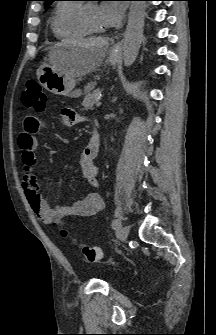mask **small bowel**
I'll return each instance as SVG.
<instances>
[{
	"mask_svg": "<svg viewBox=\"0 0 216 335\" xmlns=\"http://www.w3.org/2000/svg\"><path fill=\"white\" fill-rule=\"evenodd\" d=\"M60 117L66 125H75L82 121V117L76 116L73 110L67 107L61 109ZM42 126L39 118L28 117L24 120L23 131L18 137L24 170L23 188L32 211L45 225L55 226H63L68 218L88 217L99 213L103 209V201L97 193H91L69 205H51L43 197L35 175L37 134ZM99 147L100 140L95 139L92 134L79 156L83 176L93 187L98 185L95 159Z\"/></svg>",
	"mask_w": 216,
	"mask_h": 335,
	"instance_id": "c3829d8e",
	"label": "small bowel"
}]
</instances>
